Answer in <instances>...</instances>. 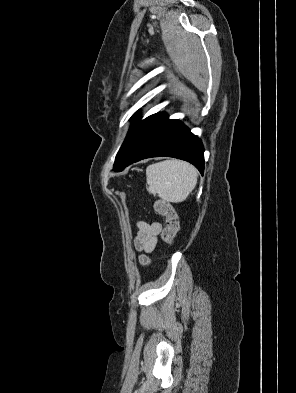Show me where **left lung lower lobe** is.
<instances>
[{"label":"left lung lower lobe","mask_w":296,"mask_h":393,"mask_svg":"<svg viewBox=\"0 0 296 393\" xmlns=\"http://www.w3.org/2000/svg\"><path fill=\"white\" fill-rule=\"evenodd\" d=\"M168 156L192 163L203 174L204 148L201 140L179 120L159 114L146 128L121 171L142 159Z\"/></svg>","instance_id":"obj_1"}]
</instances>
